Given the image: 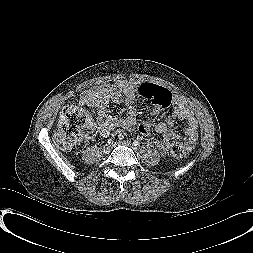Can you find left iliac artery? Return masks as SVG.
<instances>
[{
  "label": "left iliac artery",
  "instance_id": "1",
  "mask_svg": "<svg viewBox=\"0 0 253 253\" xmlns=\"http://www.w3.org/2000/svg\"><path fill=\"white\" fill-rule=\"evenodd\" d=\"M133 145H134V146H139V142L135 140V141L133 142Z\"/></svg>",
  "mask_w": 253,
  "mask_h": 253
}]
</instances>
